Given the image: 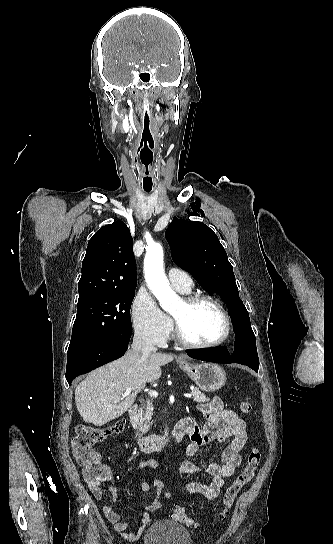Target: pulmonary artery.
Masks as SVG:
<instances>
[{
	"label": "pulmonary artery",
	"mask_w": 333,
	"mask_h": 544,
	"mask_svg": "<svg viewBox=\"0 0 333 544\" xmlns=\"http://www.w3.org/2000/svg\"><path fill=\"white\" fill-rule=\"evenodd\" d=\"M168 279L171 285L180 292H189L193 287V281L190 275L178 268L168 270Z\"/></svg>",
	"instance_id": "1"
}]
</instances>
